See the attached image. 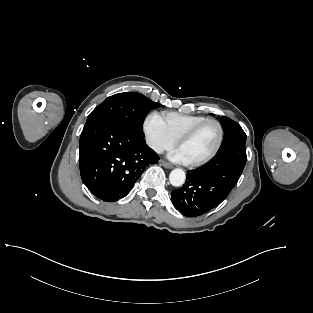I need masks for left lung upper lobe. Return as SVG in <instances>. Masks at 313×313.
Here are the masks:
<instances>
[{
    "mask_svg": "<svg viewBox=\"0 0 313 313\" xmlns=\"http://www.w3.org/2000/svg\"><path fill=\"white\" fill-rule=\"evenodd\" d=\"M220 123L225 134L219 150L234 144H245L246 134L238 123L225 116L220 119Z\"/></svg>",
    "mask_w": 313,
    "mask_h": 313,
    "instance_id": "5c2ea615",
    "label": "left lung upper lobe"
}]
</instances>
